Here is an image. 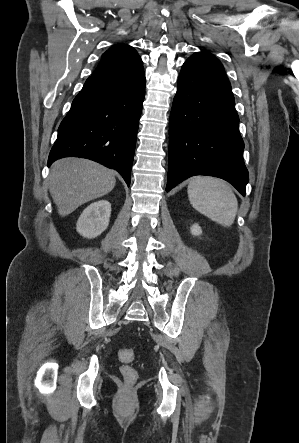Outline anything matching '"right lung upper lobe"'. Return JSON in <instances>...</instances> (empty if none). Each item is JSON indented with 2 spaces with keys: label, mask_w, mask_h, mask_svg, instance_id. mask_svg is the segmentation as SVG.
I'll return each mask as SVG.
<instances>
[{
  "label": "right lung upper lobe",
  "mask_w": 299,
  "mask_h": 443,
  "mask_svg": "<svg viewBox=\"0 0 299 443\" xmlns=\"http://www.w3.org/2000/svg\"><path fill=\"white\" fill-rule=\"evenodd\" d=\"M143 69V62L135 49L119 44L107 50L93 75H112L132 73Z\"/></svg>",
  "instance_id": "cb5924a9"
}]
</instances>
